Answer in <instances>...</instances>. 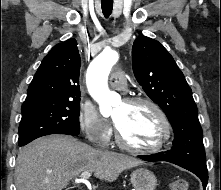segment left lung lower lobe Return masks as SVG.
I'll use <instances>...</instances> for the list:
<instances>
[{
	"instance_id": "obj_1",
	"label": "left lung lower lobe",
	"mask_w": 221,
	"mask_h": 190,
	"mask_svg": "<svg viewBox=\"0 0 221 190\" xmlns=\"http://www.w3.org/2000/svg\"><path fill=\"white\" fill-rule=\"evenodd\" d=\"M139 158L145 161H167L170 163H174L182 168H185L195 175H197L201 181L203 188H206L208 182V171L205 161H199L190 159L187 157L177 156L173 154L171 151L160 152L157 154L147 155V156H138Z\"/></svg>"
}]
</instances>
